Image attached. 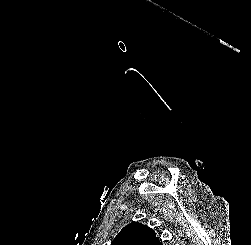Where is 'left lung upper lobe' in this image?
I'll return each mask as SVG.
<instances>
[{
	"label": "left lung upper lobe",
	"instance_id": "left-lung-upper-lobe-1",
	"mask_svg": "<svg viewBox=\"0 0 251 245\" xmlns=\"http://www.w3.org/2000/svg\"><path fill=\"white\" fill-rule=\"evenodd\" d=\"M111 245H162L153 229L138 222L125 226Z\"/></svg>",
	"mask_w": 251,
	"mask_h": 245
}]
</instances>
